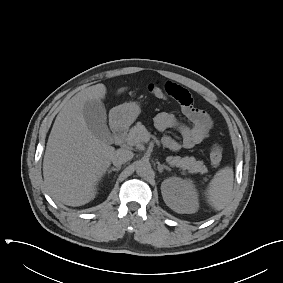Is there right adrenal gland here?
<instances>
[{
    "label": "right adrenal gland",
    "instance_id": "obj_1",
    "mask_svg": "<svg viewBox=\"0 0 283 283\" xmlns=\"http://www.w3.org/2000/svg\"><path fill=\"white\" fill-rule=\"evenodd\" d=\"M120 169H121L120 166H119V167H115V168L112 167V168H110V169L107 170V173L110 174V173H112L113 171L119 172Z\"/></svg>",
    "mask_w": 283,
    "mask_h": 283
}]
</instances>
